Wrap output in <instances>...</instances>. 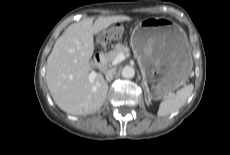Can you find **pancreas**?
Wrapping results in <instances>:
<instances>
[{
  "label": "pancreas",
  "mask_w": 230,
  "mask_h": 155,
  "mask_svg": "<svg viewBox=\"0 0 230 155\" xmlns=\"http://www.w3.org/2000/svg\"><path fill=\"white\" fill-rule=\"evenodd\" d=\"M120 53H122L124 55H128L129 54V48L125 45H122L121 43H117L114 46V50L102 54V59L106 63L110 64L113 62V60L116 58V56Z\"/></svg>",
  "instance_id": "obj_1"
}]
</instances>
